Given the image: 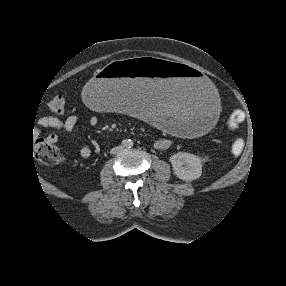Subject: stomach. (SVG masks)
Returning a JSON list of instances; mask_svg holds the SVG:
<instances>
[{"instance_id":"1","label":"stomach","mask_w":286,"mask_h":286,"mask_svg":"<svg viewBox=\"0 0 286 286\" xmlns=\"http://www.w3.org/2000/svg\"><path fill=\"white\" fill-rule=\"evenodd\" d=\"M83 97L94 112L126 111L178 138L207 133L219 116L210 78L164 58L119 57L87 79Z\"/></svg>"}]
</instances>
